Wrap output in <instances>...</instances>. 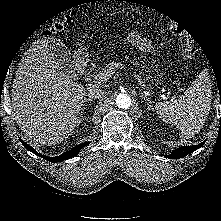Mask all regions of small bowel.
Returning a JSON list of instances; mask_svg holds the SVG:
<instances>
[{"instance_id": "obj_1", "label": "small bowel", "mask_w": 221, "mask_h": 221, "mask_svg": "<svg viewBox=\"0 0 221 221\" xmlns=\"http://www.w3.org/2000/svg\"><path fill=\"white\" fill-rule=\"evenodd\" d=\"M129 40L131 44L141 52L148 53L153 50V45L150 40L136 32H131L129 34Z\"/></svg>"}]
</instances>
